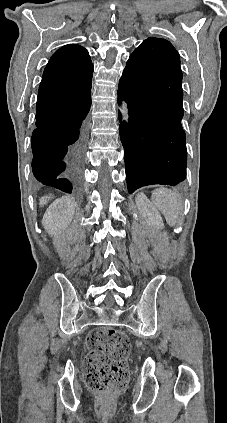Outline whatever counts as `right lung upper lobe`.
I'll return each mask as SVG.
<instances>
[{
	"label": "right lung upper lobe",
	"instance_id": "1",
	"mask_svg": "<svg viewBox=\"0 0 227 423\" xmlns=\"http://www.w3.org/2000/svg\"><path fill=\"white\" fill-rule=\"evenodd\" d=\"M93 64L87 50L69 44L50 58L40 83L38 97L45 100H65L91 94Z\"/></svg>",
	"mask_w": 227,
	"mask_h": 423
}]
</instances>
